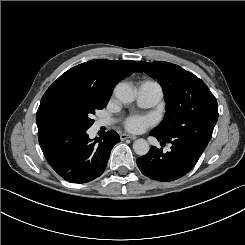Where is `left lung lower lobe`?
<instances>
[{
  "label": "left lung lower lobe",
  "mask_w": 245,
  "mask_h": 245,
  "mask_svg": "<svg viewBox=\"0 0 245 245\" xmlns=\"http://www.w3.org/2000/svg\"><path fill=\"white\" fill-rule=\"evenodd\" d=\"M202 134L197 132L168 137L153 129L150 135L161 141V145L171 143V151L163 153L162 149L152 147L146 155L136 160L140 171L150 179L161 182H171L185 176L195 166L211 138Z\"/></svg>",
  "instance_id": "obj_1"
}]
</instances>
